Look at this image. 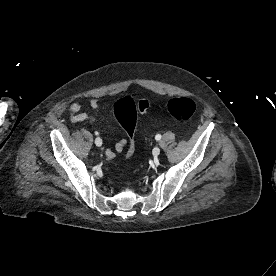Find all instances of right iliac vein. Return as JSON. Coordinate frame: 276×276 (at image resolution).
I'll return each mask as SVG.
<instances>
[{"label": "right iliac vein", "instance_id": "1", "mask_svg": "<svg viewBox=\"0 0 276 276\" xmlns=\"http://www.w3.org/2000/svg\"><path fill=\"white\" fill-rule=\"evenodd\" d=\"M100 141H101V139H100L99 137H97V138L95 139V144H96V146H101V144L98 143V142H100Z\"/></svg>", "mask_w": 276, "mask_h": 276}]
</instances>
